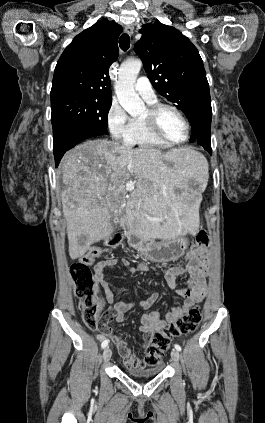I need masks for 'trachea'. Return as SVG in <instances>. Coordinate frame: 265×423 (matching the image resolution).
<instances>
[{"label":"trachea","mask_w":265,"mask_h":423,"mask_svg":"<svg viewBox=\"0 0 265 423\" xmlns=\"http://www.w3.org/2000/svg\"><path fill=\"white\" fill-rule=\"evenodd\" d=\"M119 46L123 51H127L130 47V37L128 34H123L119 39Z\"/></svg>","instance_id":"obj_1"}]
</instances>
